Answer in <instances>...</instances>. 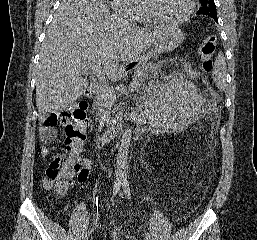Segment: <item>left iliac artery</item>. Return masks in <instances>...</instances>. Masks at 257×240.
Returning a JSON list of instances; mask_svg holds the SVG:
<instances>
[{
    "mask_svg": "<svg viewBox=\"0 0 257 240\" xmlns=\"http://www.w3.org/2000/svg\"><path fill=\"white\" fill-rule=\"evenodd\" d=\"M122 186H123V190H124V193H125V196L128 200L131 199V193H130V188H129V183L127 180H124L123 183H122ZM145 240H150V236L148 233L145 232Z\"/></svg>",
    "mask_w": 257,
    "mask_h": 240,
    "instance_id": "obj_1",
    "label": "left iliac artery"
}]
</instances>
